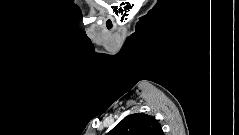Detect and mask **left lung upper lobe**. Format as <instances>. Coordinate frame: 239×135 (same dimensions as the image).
<instances>
[{"label": "left lung upper lobe", "mask_w": 239, "mask_h": 135, "mask_svg": "<svg viewBox=\"0 0 239 135\" xmlns=\"http://www.w3.org/2000/svg\"><path fill=\"white\" fill-rule=\"evenodd\" d=\"M108 135H163V131L153 116L135 113L121 120Z\"/></svg>", "instance_id": "left-lung-upper-lobe-1"}]
</instances>
